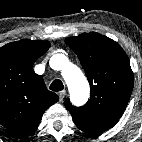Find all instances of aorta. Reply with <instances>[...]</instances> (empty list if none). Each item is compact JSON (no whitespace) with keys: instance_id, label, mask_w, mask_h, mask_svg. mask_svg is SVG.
Listing matches in <instances>:
<instances>
[{"instance_id":"obj_1","label":"aorta","mask_w":142,"mask_h":142,"mask_svg":"<svg viewBox=\"0 0 142 142\" xmlns=\"http://www.w3.org/2000/svg\"><path fill=\"white\" fill-rule=\"evenodd\" d=\"M55 68L61 70L72 101L83 105L89 98L90 87L82 71L63 54L54 55Z\"/></svg>"}]
</instances>
